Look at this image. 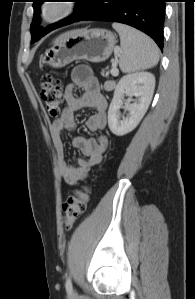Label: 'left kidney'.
Masks as SVG:
<instances>
[{"label":"left kidney","mask_w":195,"mask_h":299,"mask_svg":"<svg viewBox=\"0 0 195 299\" xmlns=\"http://www.w3.org/2000/svg\"><path fill=\"white\" fill-rule=\"evenodd\" d=\"M155 88V77L149 72H136L123 76L118 82L108 110V126L116 136H124L134 130L145 115ZM135 96L132 104L124 108L129 113L121 117L124 95Z\"/></svg>","instance_id":"5707ae66"}]
</instances>
